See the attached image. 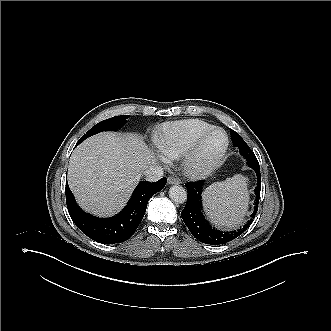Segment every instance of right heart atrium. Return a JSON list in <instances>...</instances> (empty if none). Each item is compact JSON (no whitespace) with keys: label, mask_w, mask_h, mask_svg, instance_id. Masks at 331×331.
<instances>
[{"label":"right heart atrium","mask_w":331,"mask_h":331,"mask_svg":"<svg viewBox=\"0 0 331 331\" xmlns=\"http://www.w3.org/2000/svg\"><path fill=\"white\" fill-rule=\"evenodd\" d=\"M159 157L163 158V155L159 154Z\"/></svg>","instance_id":"right-heart-atrium-1"}]
</instances>
